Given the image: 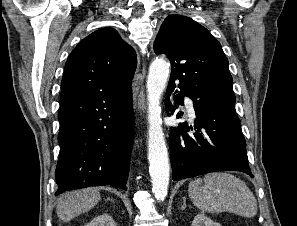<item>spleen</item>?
Wrapping results in <instances>:
<instances>
[{
  "label": "spleen",
  "instance_id": "spleen-1",
  "mask_svg": "<svg viewBox=\"0 0 297 226\" xmlns=\"http://www.w3.org/2000/svg\"><path fill=\"white\" fill-rule=\"evenodd\" d=\"M204 183V184H203ZM189 196L200 210L231 212L242 217L257 214V201L244 181L229 173H210L189 184Z\"/></svg>",
  "mask_w": 297,
  "mask_h": 226
}]
</instances>
